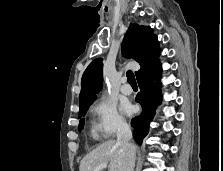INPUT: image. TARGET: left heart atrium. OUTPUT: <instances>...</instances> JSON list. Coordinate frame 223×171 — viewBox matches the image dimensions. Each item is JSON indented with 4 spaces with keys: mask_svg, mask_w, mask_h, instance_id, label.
Here are the masks:
<instances>
[{
    "mask_svg": "<svg viewBox=\"0 0 223 171\" xmlns=\"http://www.w3.org/2000/svg\"><path fill=\"white\" fill-rule=\"evenodd\" d=\"M122 109L128 115L133 113V107L131 105H129V104L123 105Z\"/></svg>",
    "mask_w": 223,
    "mask_h": 171,
    "instance_id": "39dd6f15",
    "label": "left heart atrium"
}]
</instances>
